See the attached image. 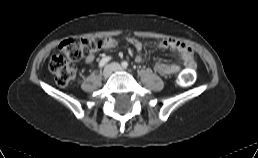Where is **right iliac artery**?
<instances>
[{
  "label": "right iliac artery",
  "instance_id": "82829eb1",
  "mask_svg": "<svg viewBox=\"0 0 258 158\" xmlns=\"http://www.w3.org/2000/svg\"><path fill=\"white\" fill-rule=\"evenodd\" d=\"M111 60V57H105L99 62V68H103L107 62Z\"/></svg>",
  "mask_w": 258,
  "mask_h": 158
}]
</instances>
